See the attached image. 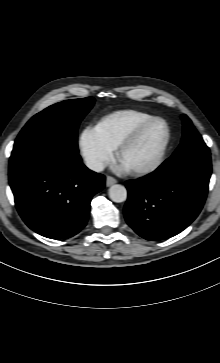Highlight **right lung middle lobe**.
Segmentation results:
<instances>
[{"label": "right lung middle lobe", "instance_id": "1", "mask_svg": "<svg viewBox=\"0 0 220 363\" xmlns=\"http://www.w3.org/2000/svg\"><path fill=\"white\" fill-rule=\"evenodd\" d=\"M94 102L92 97L66 100L36 114L19 133L11 157L28 148L52 142L63 144L78 153V126Z\"/></svg>", "mask_w": 220, "mask_h": 363}]
</instances>
